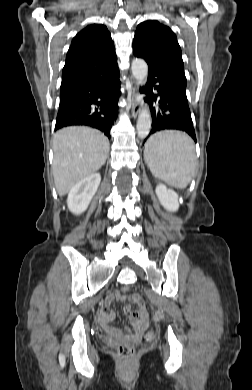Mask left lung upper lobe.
Segmentation results:
<instances>
[{"instance_id":"5c2ea615","label":"left lung upper lobe","mask_w":252,"mask_h":390,"mask_svg":"<svg viewBox=\"0 0 252 390\" xmlns=\"http://www.w3.org/2000/svg\"><path fill=\"white\" fill-rule=\"evenodd\" d=\"M133 52L143 58L148 67L170 73L186 83L181 48L172 30L156 20H148L137 26Z\"/></svg>"}]
</instances>
